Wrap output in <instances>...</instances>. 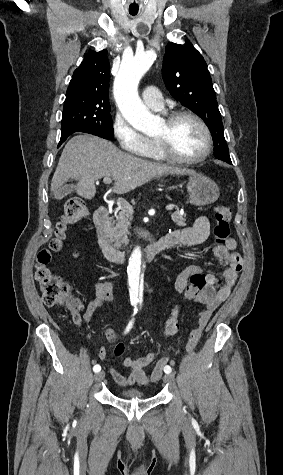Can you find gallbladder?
<instances>
[{
  "label": "gallbladder",
  "mask_w": 283,
  "mask_h": 475,
  "mask_svg": "<svg viewBox=\"0 0 283 475\" xmlns=\"http://www.w3.org/2000/svg\"><path fill=\"white\" fill-rule=\"evenodd\" d=\"M74 190V184H65V186H62V188L56 192L55 198H57V200H62V198H65L67 194H71V192H74Z\"/></svg>",
  "instance_id": "gallbladder-1"
}]
</instances>
